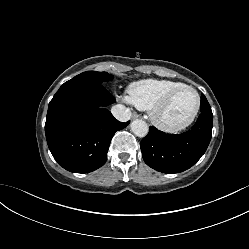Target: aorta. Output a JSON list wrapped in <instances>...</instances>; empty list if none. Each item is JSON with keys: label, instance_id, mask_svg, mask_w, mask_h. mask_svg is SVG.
<instances>
[{"label": "aorta", "instance_id": "obj_1", "mask_svg": "<svg viewBox=\"0 0 249 249\" xmlns=\"http://www.w3.org/2000/svg\"><path fill=\"white\" fill-rule=\"evenodd\" d=\"M131 131L138 137H145L149 131L148 125L141 119H135L130 124Z\"/></svg>", "mask_w": 249, "mask_h": 249}]
</instances>
